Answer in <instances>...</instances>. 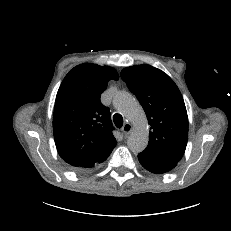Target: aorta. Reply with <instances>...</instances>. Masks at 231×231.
Listing matches in <instances>:
<instances>
[{
    "label": "aorta",
    "instance_id": "obj_1",
    "mask_svg": "<svg viewBox=\"0 0 231 231\" xmlns=\"http://www.w3.org/2000/svg\"><path fill=\"white\" fill-rule=\"evenodd\" d=\"M113 105L135 127L128 137V148L133 153L142 152L147 147L149 141L148 121L142 106L130 93L125 91H120L114 96Z\"/></svg>",
    "mask_w": 231,
    "mask_h": 231
}]
</instances>
